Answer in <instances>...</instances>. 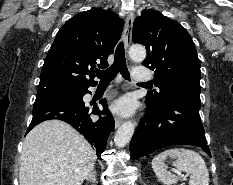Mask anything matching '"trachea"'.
Here are the masks:
<instances>
[{
  "label": "trachea",
  "mask_w": 233,
  "mask_h": 185,
  "mask_svg": "<svg viewBox=\"0 0 233 185\" xmlns=\"http://www.w3.org/2000/svg\"><path fill=\"white\" fill-rule=\"evenodd\" d=\"M119 72L124 79L130 80L125 60L124 44L122 42L116 48L113 64L106 70H98L96 74L100 79V84H109Z\"/></svg>",
  "instance_id": "obj_1"
}]
</instances>
